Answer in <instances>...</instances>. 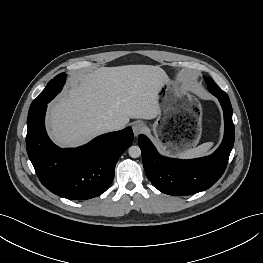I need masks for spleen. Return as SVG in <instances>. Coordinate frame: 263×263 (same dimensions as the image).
Segmentation results:
<instances>
[{
	"instance_id": "spleen-1",
	"label": "spleen",
	"mask_w": 263,
	"mask_h": 263,
	"mask_svg": "<svg viewBox=\"0 0 263 263\" xmlns=\"http://www.w3.org/2000/svg\"><path fill=\"white\" fill-rule=\"evenodd\" d=\"M212 146H213V142H206L197 147L184 151L183 153L178 155V157L181 159H192V158L202 157L208 153L209 149Z\"/></svg>"
}]
</instances>
